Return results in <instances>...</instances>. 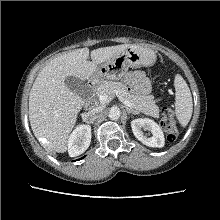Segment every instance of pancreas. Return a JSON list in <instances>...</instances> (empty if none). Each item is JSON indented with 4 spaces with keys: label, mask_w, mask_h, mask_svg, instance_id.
Returning <instances> with one entry per match:
<instances>
[{
    "label": "pancreas",
    "mask_w": 220,
    "mask_h": 220,
    "mask_svg": "<svg viewBox=\"0 0 220 220\" xmlns=\"http://www.w3.org/2000/svg\"><path fill=\"white\" fill-rule=\"evenodd\" d=\"M107 94L114 98L115 95L132 103L133 108L154 118L159 117V107L155 104L152 95H143L134 90H128L122 82L102 81L96 90V95Z\"/></svg>",
    "instance_id": "cf45deb5"
}]
</instances>
